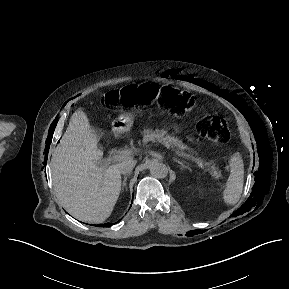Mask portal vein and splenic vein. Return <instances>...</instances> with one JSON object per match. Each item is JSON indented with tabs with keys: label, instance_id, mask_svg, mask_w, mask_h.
<instances>
[{
	"label": "portal vein and splenic vein",
	"instance_id": "obj_1",
	"mask_svg": "<svg viewBox=\"0 0 289 289\" xmlns=\"http://www.w3.org/2000/svg\"><path fill=\"white\" fill-rule=\"evenodd\" d=\"M165 146L167 148L170 147L169 144H165ZM131 151L130 150H122V151H119L117 152L116 154H114L111 158L107 159L104 163V165H106L108 162H114V161H118V160H122V159H125L127 158L129 155H130ZM183 157H186L188 159H192L196 162L197 166L202 169V170H205V166L204 164L202 163V161L200 159H197V158H190L188 155L186 154H180V153H177Z\"/></svg>",
	"mask_w": 289,
	"mask_h": 289
}]
</instances>
